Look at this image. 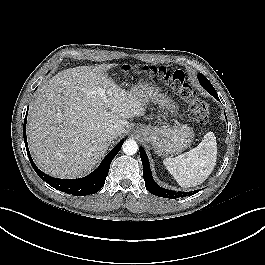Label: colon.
<instances>
[{"label": "colon", "instance_id": "1", "mask_svg": "<svg viewBox=\"0 0 265 265\" xmlns=\"http://www.w3.org/2000/svg\"><path fill=\"white\" fill-rule=\"evenodd\" d=\"M124 71L134 75L145 74L166 82L187 102L190 119L198 125L207 123L209 106L197 95L183 71L147 65L143 67L126 66Z\"/></svg>", "mask_w": 265, "mask_h": 265}]
</instances>
